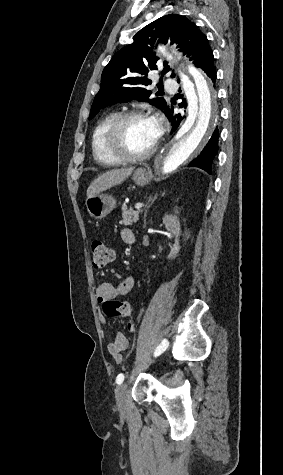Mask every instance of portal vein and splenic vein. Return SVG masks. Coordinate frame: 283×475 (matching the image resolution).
Instances as JSON below:
<instances>
[{"instance_id": "portal-vein-and-splenic-vein-1", "label": "portal vein and splenic vein", "mask_w": 283, "mask_h": 475, "mask_svg": "<svg viewBox=\"0 0 283 475\" xmlns=\"http://www.w3.org/2000/svg\"><path fill=\"white\" fill-rule=\"evenodd\" d=\"M144 204H135L136 210H139V208H143Z\"/></svg>"}]
</instances>
